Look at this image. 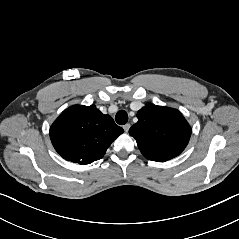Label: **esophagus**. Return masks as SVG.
I'll use <instances>...</instances> for the list:
<instances>
[{"label":"esophagus","mask_w":239,"mask_h":239,"mask_svg":"<svg viewBox=\"0 0 239 239\" xmlns=\"http://www.w3.org/2000/svg\"><path fill=\"white\" fill-rule=\"evenodd\" d=\"M123 129H124L125 132H128L129 129H130V124H129V123L125 124V125L123 126Z\"/></svg>","instance_id":"1"}]
</instances>
